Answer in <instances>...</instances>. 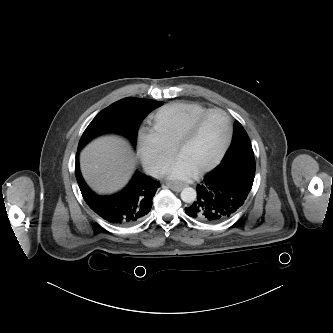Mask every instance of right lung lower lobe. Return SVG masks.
<instances>
[{
  "mask_svg": "<svg viewBox=\"0 0 333 333\" xmlns=\"http://www.w3.org/2000/svg\"><path fill=\"white\" fill-rule=\"evenodd\" d=\"M75 175L88 206L106 221L120 226L134 225L143 220L151 210L152 199L160 186L159 181L136 171L122 191L111 196H99L89 189L82 178L79 152L76 154Z\"/></svg>",
  "mask_w": 333,
  "mask_h": 333,
  "instance_id": "98d812e1",
  "label": "right lung lower lobe"
}]
</instances>
